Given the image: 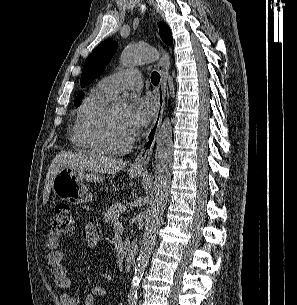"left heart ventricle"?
Wrapping results in <instances>:
<instances>
[{"instance_id": "b2bd125f", "label": "left heart ventricle", "mask_w": 297, "mask_h": 305, "mask_svg": "<svg viewBox=\"0 0 297 305\" xmlns=\"http://www.w3.org/2000/svg\"><path fill=\"white\" fill-rule=\"evenodd\" d=\"M123 115L122 110H109L110 137L117 145H123L132 139L123 126Z\"/></svg>"}]
</instances>
